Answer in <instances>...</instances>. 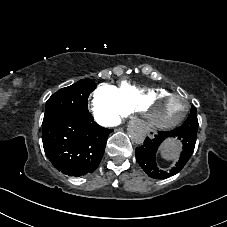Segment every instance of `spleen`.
<instances>
[{
	"label": "spleen",
	"instance_id": "1",
	"mask_svg": "<svg viewBox=\"0 0 227 227\" xmlns=\"http://www.w3.org/2000/svg\"><path fill=\"white\" fill-rule=\"evenodd\" d=\"M178 145L175 144L173 141H168L163 147H162V154L165 158H173L175 159L178 152Z\"/></svg>",
	"mask_w": 227,
	"mask_h": 227
}]
</instances>
